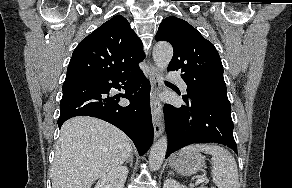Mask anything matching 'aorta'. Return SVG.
Returning <instances> with one entry per match:
<instances>
[{"label":"aorta","mask_w":292,"mask_h":188,"mask_svg":"<svg viewBox=\"0 0 292 188\" xmlns=\"http://www.w3.org/2000/svg\"><path fill=\"white\" fill-rule=\"evenodd\" d=\"M172 56L173 48L169 43L159 42L154 46L153 59L160 72L167 69ZM167 145V137L162 136L151 148L149 156V166L151 170L156 171L161 167L166 155Z\"/></svg>","instance_id":"762f6f07"}]
</instances>
